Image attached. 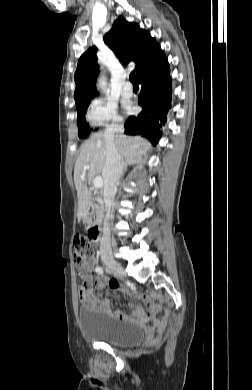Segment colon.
I'll use <instances>...</instances> for the list:
<instances>
[{"mask_svg":"<svg viewBox=\"0 0 252 390\" xmlns=\"http://www.w3.org/2000/svg\"><path fill=\"white\" fill-rule=\"evenodd\" d=\"M74 262L81 271L89 260L93 257L96 250V233L93 228L89 229L85 235H79L74 238Z\"/></svg>","mask_w":252,"mask_h":390,"instance_id":"colon-1","label":"colon"}]
</instances>
